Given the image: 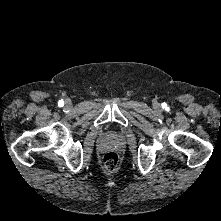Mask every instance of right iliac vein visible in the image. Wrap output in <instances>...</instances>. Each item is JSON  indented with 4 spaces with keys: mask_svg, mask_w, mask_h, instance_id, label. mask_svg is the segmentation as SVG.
Wrapping results in <instances>:
<instances>
[{
    "mask_svg": "<svg viewBox=\"0 0 221 221\" xmlns=\"http://www.w3.org/2000/svg\"><path fill=\"white\" fill-rule=\"evenodd\" d=\"M71 105V102L69 100L66 101V106L69 107Z\"/></svg>",
    "mask_w": 221,
    "mask_h": 221,
    "instance_id": "1",
    "label": "right iliac vein"
}]
</instances>
